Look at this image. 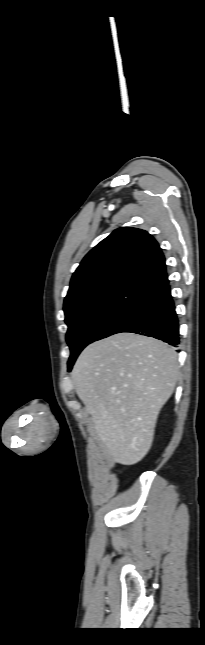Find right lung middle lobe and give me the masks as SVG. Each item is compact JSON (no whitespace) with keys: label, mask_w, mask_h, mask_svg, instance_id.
I'll return each instance as SVG.
<instances>
[{"label":"right lung middle lobe","mask_w":205,"mask_h":645,"mask_svg":"<svg viewBox=\"0 0 205 645\" xmlns=\"http://www.w3.org/2000/svg\"><path fill=\"white\" fill-rule=\"evenodd\" d=\"M146 295V288L124 285L64 307L71 368L82 349L99 340Z\"/></svg>","instance_id":"dd1d6c3e"}]
</instances>
